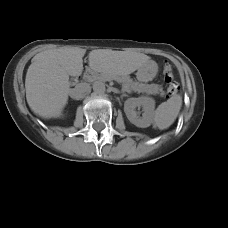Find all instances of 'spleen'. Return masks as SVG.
<instances>
[{
	"label": "spleen",
	"mask_w": 228,
	"mask_h": 228,
	"mask_svg": "<svg viewBox=\"0 0 228 228\" xmlns=\"http://www.w3.org/2000/svg\"><path fill=\"white\" fill-rule=\"evenodd\" d=\"M181 106L182 97L178 94L161 103L153 113V126L160 130H164L170 127L177 118Z\"/></svg>",
	"instance_id": "1"
}]
</instances>
